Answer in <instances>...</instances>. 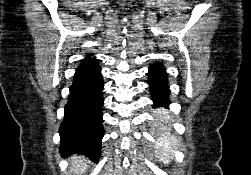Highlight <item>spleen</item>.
I'll list each match as a JSON object with an SVG mask.
<instances>
[{"label":"spleen","instance_id":"spleen-1","mask_svg":"<svg viewBox=\"0 0 251 175\" xmlns=\"http://www.w3.org/2000/svg\"><path fill=\"white\" fill-rule=\"evenodd\" d=\"M164 137H168V135H164ZM175 139L176 137H173L172 143H169V139H167V141L163 143L164 147H160V149H158V161H167L169 155V147H171V145L172 147H176L177 141H175Z\"/></svg>","mask_w":251,"mask_h":175}]
</instances>
